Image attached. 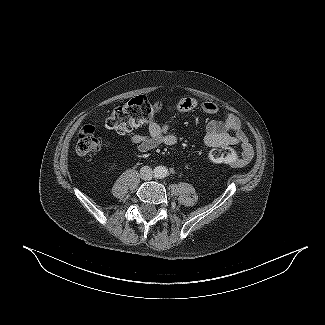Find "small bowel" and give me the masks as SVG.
Wrapping results in <instances>:
<instances>
[{
    "instance_id": "obj_1",
    "label": "small bowel",
    "mask_w": 325,
    "mask_h": 325,
    "mask_svg": "<svg viewBox=\"0 0 325 325\" xmlns=\"http://www.w3.org/2000/svg\"><path fill=\"white\" fill-rule=\"evenodd\" d=\"M174 109L179 112H188L196 109L215 115L219 112V107L213 102H199L195 98L181 99L174 105ZM203 141L208 147L222 145H239L242 149L241 157L237 166L248 163L253 157V148L245 135L241 121L233 114H229L223 120H211L206 124ZM129 141L139 152H147L158 146H174L178 143V137L171 132L167 123L160 124L153 122L148 126L147 135L134 134Z\"/></svg>"
}]
</instances>
